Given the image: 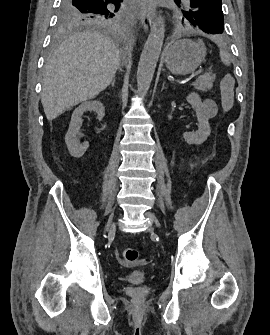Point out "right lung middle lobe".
Instances as JSON below:
<instances>
[{"mask_svg": "<svg viewBox=\"0 0 270 335\" xmlns=\"http://www.w3.org/2000/svg\"><path fill=\"white\" fill-rule=\"evenodd\" d=\"M120 1L123 0H61L56 36L76 29L118 26L123 18Z\"/></svg>", "mask_w": 270, "mask_h": 335, "instance_id": "right-lung-middle-lobe-1", "label": "right lung middle lobe"}]
</instances>
